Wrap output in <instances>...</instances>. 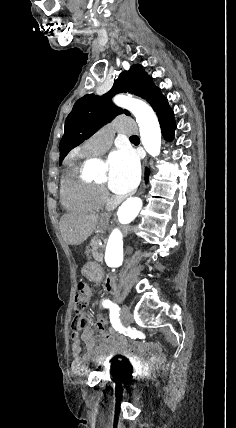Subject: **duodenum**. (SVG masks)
Listing matches in <instances>:
<instances>
[{
	"label": "duodenum",
	"instance_id": "obj_1",
	"mask_svg": "<svg viewBox=\"0 0 236 428\" xmlns=\"http://www.w3.org/2000/svg\"><path fill=\"white\" fill-rule=\"evenodd\" d=\"M107 280L110 281V282H115L116 281V276L113 275V274H111V275L108 276Z\"/></svg>",
	"mask_w": 236,
	"mask_h": 428
}]
</instances>
